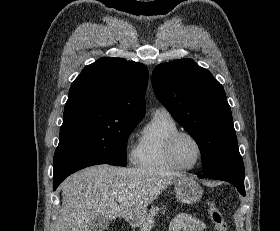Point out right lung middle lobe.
<instances>
[{
	"mask_svg": "<svg viewBox=\"0 0 280 231\" xmlns=\"http://www.w3.org/2000/svg\"><path fill=\"white\" fill-rule=\"evenodd\" d=\"M139 122L121 118L63 119L55 155H76L126 166L128 137Z\"/></svg>",
	"mask_w": 280,
	"mask_h": 231,
	"instance_id": "obj_1",
	"label": "right lung middle lobe"
}]
</instances>
